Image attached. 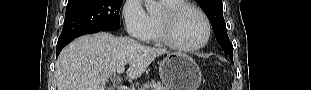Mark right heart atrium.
Wrapping results in <instances>:
<instances>
[{"mask_svg":"<svg viewBox=\"0 0 311 90\" xmlns=\"http://www.w3.org/2000/svg\"><path fill=\"white\" fill-rule=\"evenodd\" d=\"M122 15L130 37L145 41L150 31V20L142 1L127 0L123 6Z\"/></svg>","mask_w":311,"mask_h":90,"instance_id":"obj_1","label":"right heart atrium"}]
</instances>
